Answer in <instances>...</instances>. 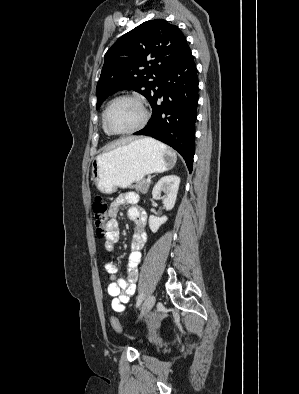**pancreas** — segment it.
Segmentation results:
<instances>
[{
    "instance_id": "obj_1",
    "label": "pancreas",
    "mask_w": 299,
    "mask_h": 394,
    "mask_svg": "<svg viewBox=\"0 0 299 394\" xmlns=\"http://www.w3.org/2000/svg\"><path fill=\"white\" fill-rule=\"evenodd\" d=\"M132 188H134L137 192L146 194L149 189V183H147L145 180H142L133 185Z\"/></svg>"
}]
</instances>
